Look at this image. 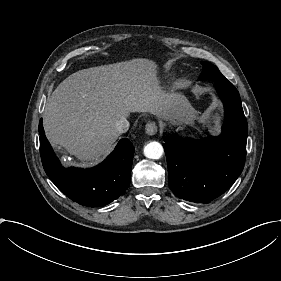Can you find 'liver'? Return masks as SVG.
I'll use <instances>...</instances> for the list:
<instances>
[{
  "instance_id": "liver-1",
  "label": "liver",
  "mask_w": 281,
  "mask_h": 281,
  "mask_svg": "<svg viewBox=\"0 0 281 281\" xmlns=\"http://www.w3.org/2000/svg\"><path fill=\"white\" fill-rule=\"evenodd\" d=\"M187 104L181 91L167 89L160 65L133 58L74 72L52 92L43 115L51 146L62 147L79 164L103 161L121 133L115 123L129 112L150 113L162 119Z\"/></svg>"
}]
</instances>
